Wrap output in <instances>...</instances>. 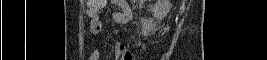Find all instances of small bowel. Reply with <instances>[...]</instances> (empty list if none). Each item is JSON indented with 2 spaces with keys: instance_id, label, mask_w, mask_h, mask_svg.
Returning a JSON list of instances; mask_svg holds the SVG:
<instances>
[{
  "instance_id": "small-bowel-1",
  "label": "small bowel",
  "mask_w": 267,
  "mask_h": 60,
  "mask_svg": "<svg viewBox=\"0 0 267 60\" xmlns=\"http://www.w3.org/2000/svg\"><path fill=\"white\" fill-rule=\"evenodd\" d=\"M104 3L100 8L94 10L91 1L87 3V14L90 19L89 31L93 36H99L103 32V23L100 13L106 4V0H101ZM114 3L120 8L119 11L114 12L113 20L120 25H127L132 21V10L125 0H115ZM114 58L120 60H131L132 55L126 50L125 45L122 42H116L114 46ZM101 52L98 48L94 49L90 54V60H100Z\"/></svg>"
}]
</instances>
